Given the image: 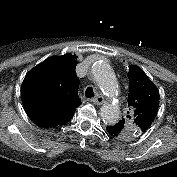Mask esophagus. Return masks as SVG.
I'll use <instances>...</instances> for the list:
<instances>
[{
  "label": "esophagus",
  "instance_id": "34e87169",
  "mask_svg": "<svg viewBox=\"0 0 177 177\" xmlns=\"http://www.w3.org/2000/svg\"><path fill=\"white\" fill-rule=\"evenodd\" d=\"M91 101H92L94 104L102 105V104L105 102V99H104V97H102V96H97V97L91 99Z\"/></svg>",
  "mask_w": 177,
  "mask_h": 177
}]
</instances>
